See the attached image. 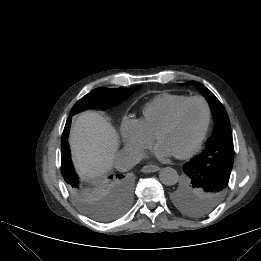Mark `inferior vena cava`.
Here are the masks:
<instances>
[{
	"instance_id": "inferior-vena-cava-1",
	"label": "inferior vena cava",
	"mask_w": 261,
	"mask_h": 261,
	"mask_svg": "<svg viewBox=\"0 0 261 261\" xmlns=\"http://www.w3.org/2000/svg\"><path fill=\"white\" fill-rule=\"evenodd\" d=\"M144 154L137 149L123 148L114 157L113 166L121 172L130 170L138 164Z\"/></svg>"
}]
</instances>
